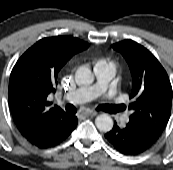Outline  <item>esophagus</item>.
Instances as JSON below:
<instances>
[{
    "mask_svg": "<svg viewBox=\"0 0 173 170\" xmlns=\"http://www.w3.org/2000/svg\"><path fill=\"white\" fill-rule=\"evenodd\" d=\"M98 113L96 111H93V110H87L84 112V115L85 116H88V117H93V116H96Z\"/></svg>",
    "mask_w": 173,
    "mask_h": 170,
    "instance_id": "obj_1",
    "label": "esophagus"
}]
</instances>
